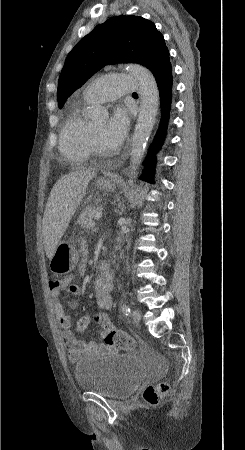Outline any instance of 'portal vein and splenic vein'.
I'll return each mask as SVG.
<instances>
[{"label":"portal vein and splenic vein","instance_id":"obj_1","mask_svg":"<svg viewBox=\"0 0 245 450\" xmlns=\"http://www.w3.org/2000/svg\"><path fill=\"white\" fill-rule=\"evenodd\" d=\"M103 214L102 212H97L95 215V219L99 220L100 218H102Z\"/></svg>","mask_w":245,"mask_h":450}]
</instances>
